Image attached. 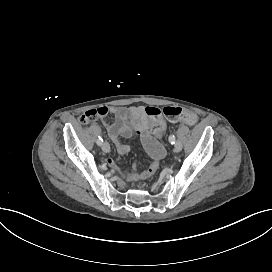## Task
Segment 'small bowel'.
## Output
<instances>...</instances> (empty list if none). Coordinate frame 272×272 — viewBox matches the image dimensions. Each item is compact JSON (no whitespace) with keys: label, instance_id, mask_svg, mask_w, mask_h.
<instances>
[{"label":"small bowel","instance_id":"obj_1","mask_svg":"<svg viewBox=\"0 0 272 272\" xmlns=\"http://www.w3.org/2000/svg\"><path fill=\"white\" fill-rule=\"evenodd\" d=\"M145 110L146 107L143 106L112 107L111 113L114 116V121L106 123V129L120 154H126L130 149L127 144L121 141L122 137L127 139L138 138L149 154L152 164L157 165L158 161L164 156V149L154 137L155 133L151 123L145 118ZM179 120L186 123L182 119ZM105 162L110 169L118 170L111 158H107ZM122 175L128 182H137L149 176L147 169L140 173L137 167L132 171L124 172Z\"/></svg>","mask_w":272,"mask_h":272}]
</instances>
